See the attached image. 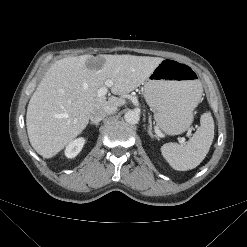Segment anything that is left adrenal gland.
<instances>
[{"mask_svg":"<svg viewBox=\"0 0 247 247\" xmlns=\"http://www.w3.org/2000/svg\"><path fill=\"white\" fill-rule=\"evenodd\" d=\"M148 122H149V126H148V134H149L151 137H154V135L152 134V120H151V116H149Z\"/></svg>","mask_w":247,"mask_h":247,"instance_id":"1","label":"left adrenal gland"}]
</instances>
